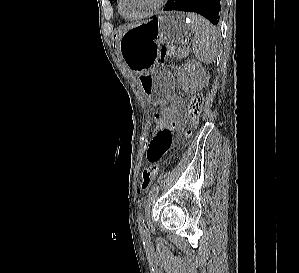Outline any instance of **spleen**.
<instances>
[{
  "label": "spleen",
  "instance_id": "obj_1",
  "mask_svg": "<svg viewBox=\"0 0 299 273\" xmlns=\"http://www.w3.org/2000/svg\"><path fill=\"white\" fill-rule=\"evenodd\" d=\"M189 30L193 34V52L195 57L205 64L214 61L218 52V32L205 18L195 13L185 14Z\"/></svg>",
  "mask_w": 299,
  "mask_h": 273
}]
</instances>
